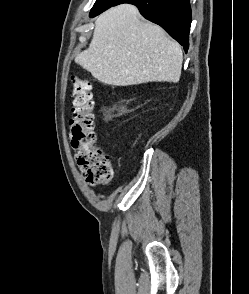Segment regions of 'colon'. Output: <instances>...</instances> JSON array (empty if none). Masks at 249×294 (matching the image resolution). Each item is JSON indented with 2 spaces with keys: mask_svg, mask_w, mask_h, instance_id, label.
<instances>
[{
  "mask_svg": "<svg viewBox=\"0 0 249 294\" xmlns=\"http://www.w3.org/2000/svg\"><path fill=\"white\" fill-rule=\"evenodd\" d=\"M73 116L70 120V143L76 162L92 186L109 184L114 170L109 157L96 144L92 87L86 79L71 76Z\"/></svg>",
  "mask_w": 249,
  "mask_h": 294,
  "instance_id": "colon-1",
  "label": "colon"
}]
</instances>
